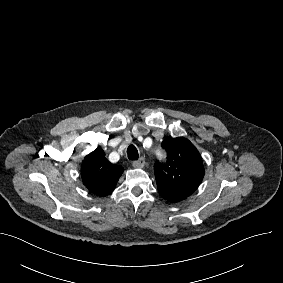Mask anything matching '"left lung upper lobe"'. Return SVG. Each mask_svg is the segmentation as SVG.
Here are the masks:
<instances>
[{"mask_svg":"<svg viewBox=\"0 0 283 283\" xmlns=\"http://www.w3.org/2000/svg\"><path fill=\"white\" fill-rule=\"evenodd\" d=\"M162 147L168 153L165 163L154 165L159 194L169 202H180L190 196L204 177L202 159L186 138H166Z\"/></svg>","mask_w":283,"mask_h":283,"instance_id":"obj_1","label":"left lung upper lobe"}]
</instances>
